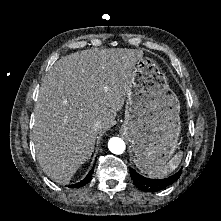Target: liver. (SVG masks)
Returning <instances> with one entry per match:
<instances>
[{
    "label": "liver",
    "mask_w": 221,
    "mask_h": 221,
    "mask_svg": "<svg viewBox=\"0 0 221 221\" xmlns=\"http://www.w3.org/2000/svg\"><path fill=\"white\" fill-rule=\"evenodd\" d=\"M142 50L90 49L58 60L42 80L32 139L42 170L67 184L92 155L95 140L115 123ZM102 127L94 130V123Z\"/></svg>",
    "instance_id": "6515ba94"
}]
</instances>
